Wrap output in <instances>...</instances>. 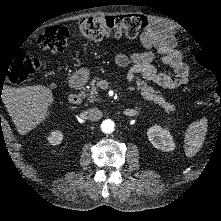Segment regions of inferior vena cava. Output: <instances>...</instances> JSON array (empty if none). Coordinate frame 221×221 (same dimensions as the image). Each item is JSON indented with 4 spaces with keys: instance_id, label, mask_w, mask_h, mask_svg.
<instances>
[{
    "instance_id": "obj_1",
    "label": "inferior vena cava",
    "mask_w": 221,
    "mask_h": 221,
    "mask_svg": "<svg viewBox=\"0 0 221 221\" xmlns=\"http://www.w3.org/2000/svg\"><path fill=\"white\" fill-rule=\"evenodd\" d=\"M85 116L90 121H99L103 117V112L99 108H90L85 111Z\"/></svg>"
}]
</instances>
